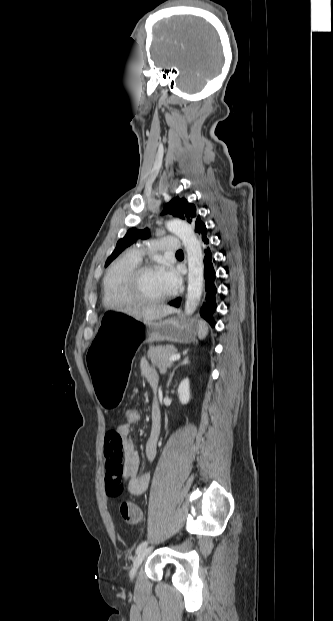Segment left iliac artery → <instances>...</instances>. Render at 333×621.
Listing matches in <instances>:
<instances>
[{
  "label": "left iliac artery",
  "mask_w": 333,
  "mask_h": 621,
  "mask_svg": "<svg viewBox=\"0 0 333 621\" xmlns=\"http://www.w3.org/2000/svg\"><path fill=\"white\" fill-rule=\"evenodd\" d=\"M148 542L147 541H143L142 543L139 544V546L136 549V553L141 552L144 548H146Z\"/></svg>",
  "instance_id": "obj_1"
}]
</instances>
